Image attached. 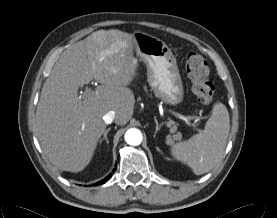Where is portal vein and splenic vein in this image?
Returning <instances> with one entry per match:
<instances>
[{
	"instance_id": "1",
	"label": "portal vein and splenic vein",
	"mask_w": 277,
	"mask_h": 218,
	"mask_svg": "<svg viewBox=\"0 0 277 218\" xmlns=\"http://www.w3.org/2000/svg\"><path fill=\"white\" fill-rule=\"evenodd\" d=\"M88 91H90V89H88L87 90V92ZM175 117H177V118H179V119H181V120H183V121H185L187 124H189V121H188V118L187 117H185V116H183V115H181V114H179V113H176V112H171ZM168 127H171L170 128V132L171 133H175L176 132V130H177V127L176 126H171V124H169V125H167Z\"/></svg>"
}]
</instances>
